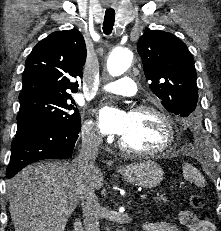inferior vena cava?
I'll use <instances>...</instances> for the list:
<instances>
[{"label":"inferior vena cava","mask_w":221,"mask_h":231,"mask_svg":"<svg viewBox=\"0 0 221 231\" xmlns=\"http://www.w3.org/2000/svg\"><path fill=\"white\" fill-rule=\"evenodd\" d=\"M102 143V136L94 130H86L82 137V146L79 156L74 160L78 169L83 172V176L89 184V175L95 168V160L98 155V149ZM82 213L85 231H100L98 203L95 191L87 186L82 195Z\"/></svg>","instance_id":"602c4592"}]
</instances>
